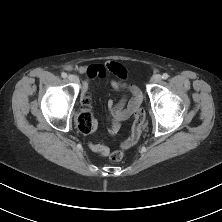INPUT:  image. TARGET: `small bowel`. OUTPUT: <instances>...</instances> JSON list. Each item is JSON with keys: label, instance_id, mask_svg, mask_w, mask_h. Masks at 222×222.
Wrapping results in <instances>:
<instances>
[{"label": "small bowel", "instance_id": "1", "mask_svg": "<svg viewBox=\"0 0 222 222\" xmlns=\"http://www.w3.org/2000/svg\"><path fill=\"white\" fill-rule=\"evenodd\" d=\"M112 63L106 64H91L84 66L74 67L80 73H85L88 76V80H92L94 78H101L106 76L108 71H111L115 75L120 78H125L126 73L122 66H116L114 69H110V65ZM111 84L113 88L117 91L125 90L130 98H122L118 103L114 101L108 102L109 109V117H110V125L108 126V132L111 135H115L121 128V123L126 120L141 104L142 94L140 90L132 84H125L119 80H112ZM88 87V82L84 84V89ZM97 122L93 119L92 126L89 130V133H92L96 130ZM88 134V133H87ZM90 148L98 153L101 156H108L110 153V149L102 142H91Z\"/></svg>", "mask_w": 222, "mask_h": 222}]
</instances>
